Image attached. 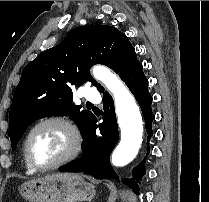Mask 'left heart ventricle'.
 <instances>
[{
    "instance_id": "obj_1",
    "label": "left heart ventricle",
    "mask_w": 209,
    "mask_h": 202,
    "mask_svg": "<svg viewBox=\"0 0 209 202\" xmlns=\"http://www.w3.org/2000/svg\"><path fill=\"white\" fill-rule=\"evenodd\" d=\"M69 147L66 132L56 124H47L34 132L29 149L34 162L45 166L56 161Z\"/></svg>"
}]
</instances>
